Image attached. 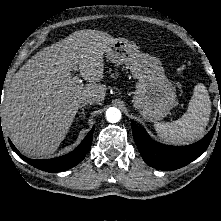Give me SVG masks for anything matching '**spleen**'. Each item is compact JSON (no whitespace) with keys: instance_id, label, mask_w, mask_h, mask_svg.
<instances>
[{"instance_id":"spleen-1","label":"spleen","mask_w":221,"mask_h":221,"mask_svg":"<svg viewBox=\"0 0 221 221\" xmlns=\"http://www.w3.org/2000/svg\"><path fill=\"white\" fill-rule=\"evenodd\" d=\"M211 102L206 87L195 86L188 109L181 118L173 122L156 123L158 136L172 144L184 145L202 137L209 122Z\"/></svg>"}]
</instances>
